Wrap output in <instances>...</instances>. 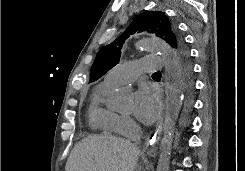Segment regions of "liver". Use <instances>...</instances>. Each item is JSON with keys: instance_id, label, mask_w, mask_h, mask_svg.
Masks as SVG:
<instances>
[{"instance_id": "1", "label": "liver", "mask_w": 245, "mask_h": 171, "mask_svg": "<svg viewBox=\"0 0 245 171\" xmlns=\"http://www.w3.org/2000/svg\"><path fill=\"white\" fill-rule=\"evenodd\" d=\"M139 154V148L129 140L113 136H88L74 147L65 170L134 171Z\"/></svg>"}]
</instances>
